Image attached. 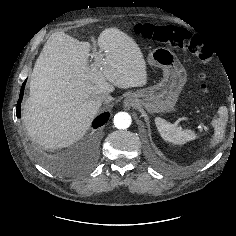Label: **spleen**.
I'll return each mask as SVG.
<instances>
[{
    "label": "spleen",
    "mask_w": 236,
    "mask_h": 236,
    "mask_svg": "<svg viewBox=\"0 0 236 236\" xmlns=\"http://www.w3.org/2000/svg\"><path fill=\"white\" fill-rule=\"evenodd\" d=\"M219 118L215 119L212 124L215 128L214 136L211 140V147H215L224 138L225 127L228 117L227 108H219ZM157 130L162 139L172 145H183L197 138L196 133L191 129H181L176 125L160 118H155Z\"/></svg>",
    "instance_id": "spleen-1"
}]
</instances>
